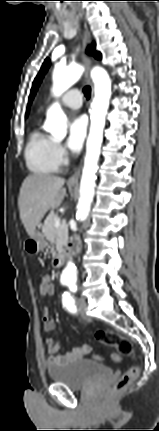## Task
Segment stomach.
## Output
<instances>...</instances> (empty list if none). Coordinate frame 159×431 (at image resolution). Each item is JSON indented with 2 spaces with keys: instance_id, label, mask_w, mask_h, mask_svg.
<instances>
[{
  "instance_id": "obj_1",
  "label": "stomach",
  "mask_w": 159,
  "mask_h": 431,
  "mask_svg": "<svg viewBox=\"0 0 159 431\" xmlns=\"http://www.w3.org/2000/svg\"><path fill=\"white\" fill-rule=\"evenodd\" d=\"M45 246L44 236L39 230H35L33 236L24 242V249L30 254H38L44 250Z\"/></svg>"
}]
</instances>
